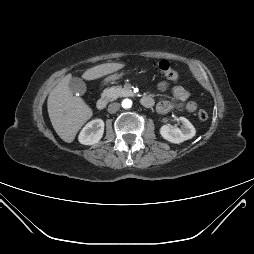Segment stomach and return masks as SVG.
<instances>
[{
  "instance_id": "obj_1",
  "label": "stomach",
  "mask_w": 254,
  "mask_h": 254,
  "mask_svg": "<svg viewBox=\"0 0 254 254\" xmlns=\"http://www.w3.org/2000/svg\"><path fill=\"white\" fill-rule=\"evenodd\" d=\"M121 76H122V74H114V75H111V76H109V77L106 79V82L119 79Z\"/></svg>"
}]
</instances>
